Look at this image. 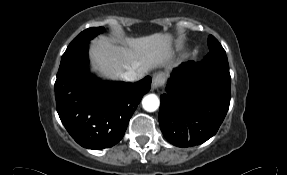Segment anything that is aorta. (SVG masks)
I'll use <instances>...</instances> for the list:
<instances>
[{
	"instance_id": "1",
	"label": "aorta",
	"mask_w": 287,
	"mask_h": 175,
	"mask_svg": "<svg viewBox=\"0 0 287 175\" xmlns=\"http://www.w3.org/2000/svg\"><path fill=\"white\" fill-rule=\"evenodd\" d=\"M160 100L155 94H149L142 100L144 110L148 112L156 111L159 108Z\"/></svg>"
}]
</instances>
